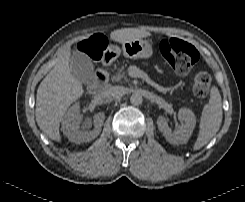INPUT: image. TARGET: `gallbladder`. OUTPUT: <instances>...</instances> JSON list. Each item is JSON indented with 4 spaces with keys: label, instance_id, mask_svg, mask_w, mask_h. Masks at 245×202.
I'll return each instance as SVG.
<instances>
[{
    "label": "gallbladder",
    "instance_id": "gallbladder-1",
    "mask_svg": "<svg viewBox=\"0 0 245 202\" xmlns=\"http://www.w3.org/2000/svg\"><path fill=\"white\" fill-rule=\"evenodd\" d=\"M69 68L71 74L81 83L87 84L94 79V67L88 55L74 51L70 57Z\"/></svg>",
    "mask_w": 245,
    "mask_h": 202
}]
</instances>
